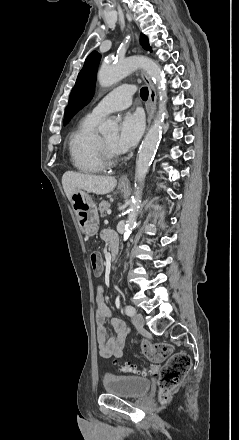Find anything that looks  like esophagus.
I'll return each mask as SVG.
<instances>
[{
    "label": "esophagus",
    "mask_w": 239,
    "mask_h": 440,
    "mask_svg": "<svg viewBox=\"0 0 239 440\" xmlns=\"http://www.w3.org/2000/svg\"><path fill=\"white\" fill-rule=\"evenodd\" d=\"M133 38L135 40L138 39L136 32H133ZM140 73H141L143 80L148 85V89H149L150 110L148 112L147 123H148V126H150L151 121H152L154 114H155V111H156V90H155L154 84L152 83L150 78L147 76L145 71L140 70ZM119 183H129L128 174L122 175V177L119 178Z\"/></svg>",
    "instance_id": "esophagus-1"
}]
</instances>
